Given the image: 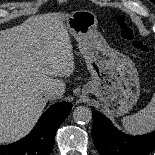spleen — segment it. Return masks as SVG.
Listing matches in <instances>:
<instances>
[{
    "instance_id": "obj_1",
    "label": "spleen",
    "mask_w": 155,
    "mask_h": 155,
    "mask_svg": "<svg viewBox=\"0 0 155 155\" xmlns=\"http://www.w3.org/2000/svg\"><path fill=\"white\" fill-rule=\"evenodd\" d=\"M125 131L140 135L155 130V94L148 105L137 113L121 120Z\"/></svg>"
}]
</instances>
